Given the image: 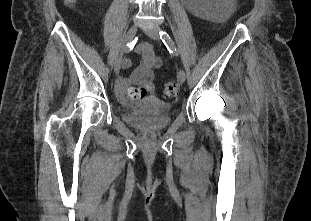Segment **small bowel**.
<instances>
[{
    "label": "small bowel",
    "mask_w": 311,
    "mask_h": 221,
    "mask_svg": "<svg viewBox=\"0 0 311 221\" xmlns=\"http://www.w3.org/2000/svg\"><path fill=\"white\" fill-rule=\"evenodd\" d=\"M137 52L141 56L139 66L132 71L129 78L121 80L119 86L124 91L130 85H137L152 92L154 90L153 70L160 66V58L148 43L139 45Z\"/></svg>",
    "instance_id": "small-bowel-1"
}]
</instances>
